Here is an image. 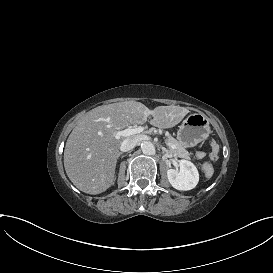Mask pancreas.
<instances>
[{"instance_id": "1", "label": "pancreas", "mask_w": 273, "mask_h": 273, "mask_svg": "<svg viewBox=\"0 0 273 273\" xmlns=\"http://www.w3.org/2000/svg\"><path fill=\"white\" fill-rule=\"evenodd\" d=\"M168 145H169V150H168L169 153L174 154L177 157L190 160V154L188 153V151L184 149L175 139L170 138L168 140ZM171 145H174L175 147H177V150H171L170 149Z\"/></svg>"}]
</instances>
